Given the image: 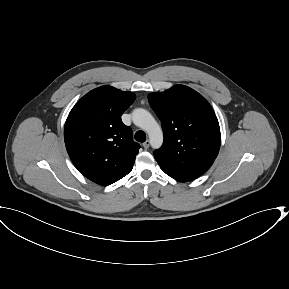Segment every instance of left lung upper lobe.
Wrapping results in <instances>:
<instances>
[{
  "instance_id": "5c2ea615",
  "label": "left lung upper lobe",
  "mask_w": 289,
  "mask_h": 289,
  "mask_svg": "<svg viewBox=\"0 0 289 289\" xmlns=\"http://www.w3.org/2000/svg\"><path fill=\"white\" fill-rule=\"evenodd\" d=\"M148 100L164 133L162 147L154 152L161 169L180 181L201 176L213 164L221 143L218 119L211 105L184 85L151 93Z\"/></svg>"
}]
</instances>
